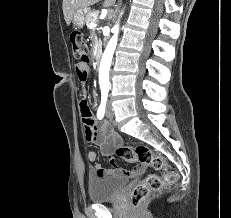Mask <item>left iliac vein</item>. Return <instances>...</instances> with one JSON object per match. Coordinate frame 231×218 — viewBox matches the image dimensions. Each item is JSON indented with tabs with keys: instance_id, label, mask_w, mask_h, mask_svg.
<instances>
[{
	"instance_id": "4c4485c4",
	"label": "left iliac vein",
	"mask_w": 231,
	"mask_h": 218,
	"mask_svg": "<svg viewBox=\"0 0 231 218\" xmlns=\"http://www.w3.org/2000/svg\"><path fill=\"white\" fill-rule=\"evenodd\" d=\"M106 117L110 120L114 118V111L110 103L107 105Z\"/></svg>"
}]
</instances>
